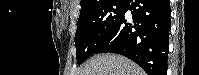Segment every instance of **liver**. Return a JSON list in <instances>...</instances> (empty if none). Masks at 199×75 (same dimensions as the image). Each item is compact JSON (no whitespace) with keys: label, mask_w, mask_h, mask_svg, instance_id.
<instances>
[{"label":"liver","mask_w":199,"mask_h":75,"mask_svg":"<svg viewBox=\"0 0 199 75\" xmlns=\"http://www.w3.org/2000/svg\"><path fill=\"white\" fill-rule=\"evenodd\" d=\"M77 75H146L128 58L116 54H100L91 58Z\"/></svg>","instance_id":"liver-1"}]
</instances>
